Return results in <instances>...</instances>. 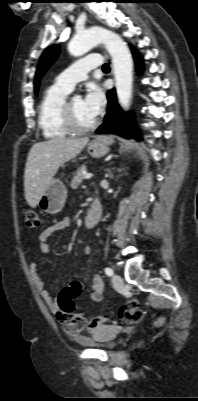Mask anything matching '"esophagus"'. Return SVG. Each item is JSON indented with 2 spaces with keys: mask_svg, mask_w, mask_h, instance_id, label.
Segmentation results:
<instances>
[{
  "mask_svg": "<svg viewBox=\"0 0 198 401\" xmlns=\"http://www.w3.org/2000/svg\"><path fill=\"white\" fill-rule=\"evenodd\" d=\"M105 56H106V58H107L108 60H110V57H109V55H108L107 53H105Z\"/></svg>",
  "mask_w": 198,
  "mask_h": 401,
  "instance_id": "esophagus-1",
  "label": "esophagus"
}]
</instances>
